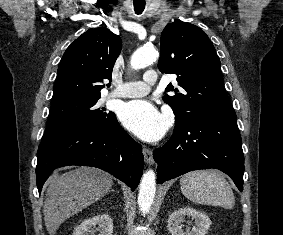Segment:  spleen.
Returning <instances> with one entry per match:
<instances>
[{"instance_id": "spleen-1", "label": "spleen", "mask_w": 283, "mask_h": 235, "mask_svg": "<svg viewBox=\"0 0 283 235\" xmlns=\"http://www.w3.org/2000/svg\"><path fill=\"white\" fill-rule=\"evenodd\" d=\"M182 194L195 204L221 206L232 209L235 204L233 191L218 171L198 170L180 179Z\"/></svg>"}]
</instances>
